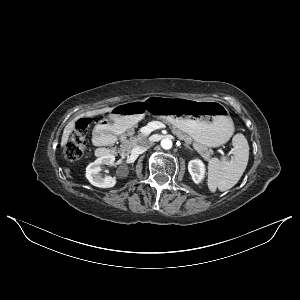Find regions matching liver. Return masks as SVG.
I'll return each mask as SVG.
<instances>
[{"instance_id": "1", "label": "liver", "mask_w": 300, "mask_h": 300, "mask_svg": "<svg viewBox=\"0 0 300 300\" xmlns=\"http://www.w3.org/2000/svg\"><path fill=\"white\" fill-rule=\"evenodd\" d=\"M112 108L113 107H111V108H102V109H96V110L88 111L86 113L80 114L74 120L70 121L66 125V127L64 128V131H63V134H62V139H61V147L64 148L66 146V144L68 143L69 135L74 130L76 119L84 118V117H93V116L102 115V114H105L106 112H110Z\"/></svg>"}]
</instances>
